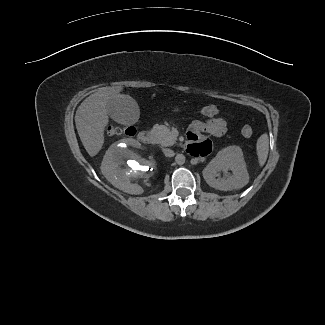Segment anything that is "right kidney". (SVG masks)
I'll return each instance as SVG.
<instances>
[{"mask_svg": "<svg viewBox=\"0 0 325 325\" xmlns=\"http://www.w3.org/2000/svg\"><path fill=\"white\" fill-rule=\"evenodd\" d=\"M155 169V162L147 158L140 143L129 138L112 144L101 164L102 174L113 186L136 195L151 186Z\"/></svg>", "mask_w": 325, "mask_h": 325, "instance_id": "ca27d5eb", "label": "right kidney"}]
</instances>
